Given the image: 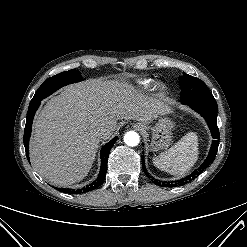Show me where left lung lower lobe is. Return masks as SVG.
<instances>
[{
	"mask_svg": "<svg viewBox=\"0 0 247 247\" xmlns=\"http://www.w3.org/2000/svg\"><path fill=\"white\" fill-rule=\"evenodd\" d=\"M182 104L190 106L193 110L197 111L199 114H201L202 117H204V119L206 120L209 126V129L211 131L214 140L212 141L210 152L207 158L198 169L194 170L187 177L180 179L176 182H160L158 180L153 181L156 184H160L162 186L173 187L176 185H184L194 180L214 161L219 146L220 134H219V129L217 127L218 106L214 97L202 99V100L187 101V102H183ZM142 166L145 174L149 177V174L145 169V162L143 155H142Z\"/></svg>",
	"mask_w": 247,
	"mask_h": 247,
	"instance_id": "left-lung-lower-lobe-1",
	"label": "left lung lower lobe"
}]
</instances>
